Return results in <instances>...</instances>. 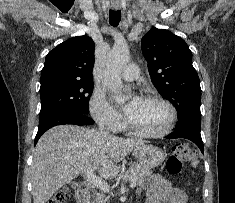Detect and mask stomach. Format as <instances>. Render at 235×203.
<instances>
[{
  "label": "stomach",
  "instance_id": "obj_1",
  "mask_svg": "<svg viewBox=\"0 0 235 203\" xmlns=\"http://www.w3.org/2000/svg\"><path fill=\"white\" fill-rule=\"evenodd\" d=\"M136 159L141 166L154 168L161 165L166 157L165 152L153 145H143L134 150Z\"/></svg>",
  "mask_w": 235,
  "mask_h": 203
}]
</instances>
